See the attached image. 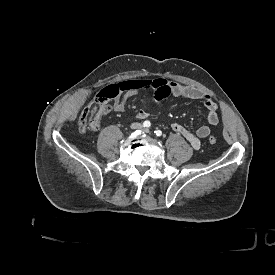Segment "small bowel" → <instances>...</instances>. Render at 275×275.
Returning <instances> with one entry per match:
<instances>
[{"label": "small bowel", "mask_w": 275, "mask_h": 275, "mask_svg": "<svg viewBox=\"0 0 275 275\" xmlns=\"http://www.w3.org/2000/svg\"><path fill=\"white\" fill-rule=\"evenodd\" d=\"M121 84L124 87L122 90L123 94L114 100L111 107L114 112L118 113L124 111L126 103L131 97L141 91L149 89L153 90L151 101L155 104H159L171 97L201 101L207 111V124L201 125L195 132L191 131L180 122H172L170 124L171 130L183 136L195 149L200 148L201 139L210 135L211 127L219 123L220 118L217 103L208 94L197 87L169 81L161 77L148 80H128ZM148 117L149 112L146 109H140L137 112V118L140 120H145ZM89 125L93 131H97L100 128V121L99 119H94Z\"/></svg>", "instance_id": "small-bowel-1"}]
</instances>
